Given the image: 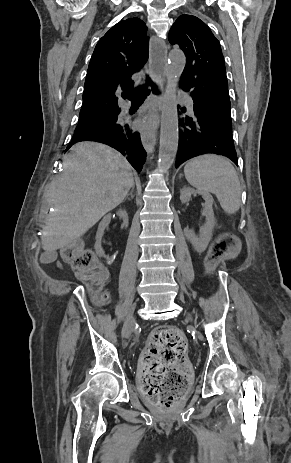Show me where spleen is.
Here are the masks:
<instances>
[{
	"label": "spleen",
	"mask_w": 291,
	"mask_h": 463,
	"mask_svg": "<svg viewBox=\"0 0 291 463\" xmlns=\"http://www.w3.org/2000/svg\"><path fill=\"white\" fill-rule=\"evenodd\" d=\"M187 181L201 191L216 195L225 213L235 214L241 204V185L233 165L224 157L203 155L184 167Z\"/></svg>",
	"instance_id": "obj_1"
}]
</instances>
